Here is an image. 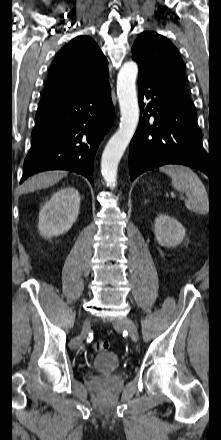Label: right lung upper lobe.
<instances>
[{
  "mask_svg": "<svg viewBox=\"0 0 221 440\" xmlns=\"http://www.w3.org/2000/svg\"><path fill=\"white\" fill-rule=\"evenodd\" d=\"M108 84L107 59L92 38L78 36L61 48L53 60L43 99L94 92Z\"/></svg>",
  "mask_w": 221,
  "mask_h": 440,
  "instance_id": "obj_1",
  "label": "right lung upper lobe"
}]
</instances>
